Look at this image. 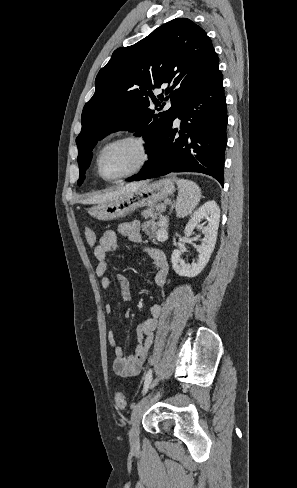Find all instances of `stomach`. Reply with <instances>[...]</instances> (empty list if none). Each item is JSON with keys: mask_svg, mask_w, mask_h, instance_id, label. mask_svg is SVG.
I'll return each mask as SVG.
<instances>
[{"mask_svg": "<svg viewBox=\"0 0 297 488\" xmlns=\"http://www.w3.org/2000/svg\"><path fill=\"white\" fill-rule=\"evenodd\" d=\"M171 179H160L135 191L121 194L115 200L97 204L88 209V214L101 221L123 218L141 207H151L166 200L174 192Z\"/></svg>", "mask_w": 297, "mask_h": 488, "instance_id": "1", "label": "stomach"}]
</instances>
